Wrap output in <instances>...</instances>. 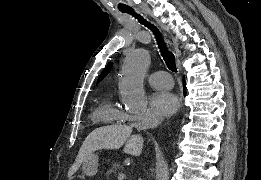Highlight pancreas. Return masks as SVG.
<instances>
[{
  "label": "pancreas",
  "mask_w": 261,
  "mask_h": 180,
  "mask_svg": "<svg viewBox=\"0 0 261 180\" xmlns=\"http://www.w3.org/2000/svg\"><path fill=\"white\" fill-rule=\"evenodd\" d=\"M118 170H123V165L120 162H115L112 160V163H109L105 173V178H112L114 174H118Z\"/></svg>",
  "instance_id": "obj_1"
}]
</instances>
